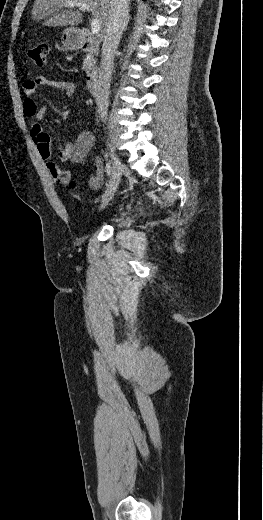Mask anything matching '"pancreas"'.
<instances>
[{
  "label": "pancreas",
  "mask_w": 263,
  "mask_h": 520,
  "mask_svg": "<svg viewBox=\"0 0 263 520\" xmlns=\"http://www.w3.org/2000/svg\"><path fill=\"white\" fill-rule=\"evenodd\" d=\"M94 63H95V59L93 58V56L87 55L83 61L82 69L87 72L94 66Z\"/></svg>",
  "instance_id": "pancreas-1"
}]
</instances>
